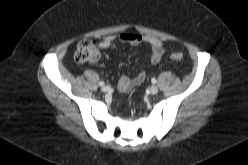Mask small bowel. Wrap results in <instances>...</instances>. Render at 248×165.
I'll list each match as a JSON object with an SVG mask.
<instances>
[{"instance_id": "obj_1", "label": "small bowel", "mask_w": 248, "mask_h": 165, "mask_svg": "<svg viewBox=\"0 0 248 165\" xmlns=\"http://www.w3.org/2000/svg\"><path fill=\"white\" fill-rule=\"evenodd\" d=\"M120 43H129L133 45L145 43L151 49V55L149 58L150 64H157L164 53V45L156 37L149 35H141L137 33H123L120 35H109L100 39L98 45L101 48H114L116 44ZM146 78V72L141 71L137 76L133 78L121 77L118 82V90L121 93L130 91L134 87L139 86L143 83Z\"/></svg>"}]
</instances>
